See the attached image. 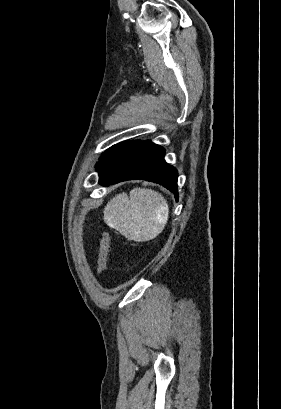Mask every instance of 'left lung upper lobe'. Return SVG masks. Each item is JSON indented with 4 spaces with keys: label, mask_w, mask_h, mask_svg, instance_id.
<instances>
[{
    "label": "left lung upper lobe",
    "mask_w": 281,
    "mask_h": 409,
    "mask_svg": "<svg viewBox=\"0 0 281 409\" xmlns=\"http://www.w3.org/2000/svg\"><path fill=\"white\" fill-rule=\"evenodd\" d=\"M139 143L138 140L136 141H124L121 143H118L109 149H107L102 156L100 157V162L97 163L96 169L99 171L102 169L110 160H112L114 157L117 155L121 154L122 152L126 151L130 147L136 145Z\"/></svg>",
    "instance_id": "left-lung-upper-lobe-1"
}]
</instances>
